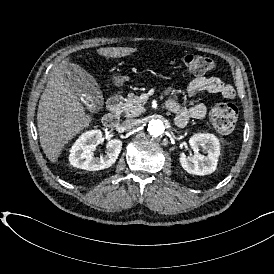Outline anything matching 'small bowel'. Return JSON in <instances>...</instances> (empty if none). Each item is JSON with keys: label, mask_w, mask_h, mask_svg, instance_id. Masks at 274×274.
I'll return each mask as SVG.
<instances>
[{"label": "small bowel", "mask_w": 274, "mask_h": 274, "mask_svg": "<svg viewBox=\"0 0 274 274\" xmlns=\"http://www.w3.org/2000/svg\"><path fill=\"white\" fill-rule=\"evenodd\" d=\"M200 92L218 93L223 98L231 100L236 96L235 88L217 77H196L187 87L189 97L193 98ZM167 109L174 114L175 124L179 127L185 126L190 119L201 120L205 118L207 107L204 103L198 102L185 108L176 100L170 99L166 103Z\"/></svg>", "instance_id": "small-bowel-1"}]
</instances>
